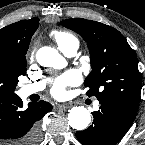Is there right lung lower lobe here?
Returning <instances> with one entry per match:
<instances>
[{"label": "right lung lower lobe", "instance_id": "1", "mask_svg": "<svg viewBox=\"0 0 145 145\" xmlns=\"http://www.w3.org/2000/svg\"><path fill=\"white\" fill-rule=\"evenodd\" d=\"M52 110L45 101L29 103L23 108L19 96H0V143L4 145H37L40 120Z\"/></svg>", "mask_w": 145, "mask_h": 145}]
</instances>
